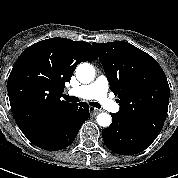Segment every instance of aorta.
I'll use <instances>...</instances> for the list:
<instances>
[{"instance_id": "aorta-1", "label": "aorta", "mask_w": 178, "mask_h": 178, "mask_svg": "<svg viewBox=\"0 0 178 178\" xmlns=\"http://www.w3.org/2000/svg\"><path fill=\"white\" fill-rule=\"evenodd\" d=\"M96 75L95 68L89 63H81L76 68V78L81 83H90ZM97 123L102 127L110 126L112 122L111 115L105 112L98 114Z\"/></svg>"}]
</instances>
